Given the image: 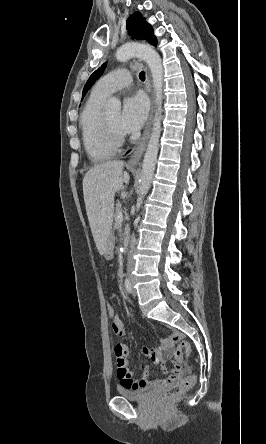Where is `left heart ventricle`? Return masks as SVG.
Listing matches in <instances>:
<instances>
[{"instance_id": "b2bd125f", "label": "left heart ventricle", "mask_w": 266, "mask_h": 444, "mask_svg": "<svg viewBox=\"0 0 266 444\" xmlns=\"http://www.w3.org/2000/svg\"><path fill=\"white\" fill-rule=\"evenodd\" d=\"M105 115L114 132L117 134H124L119 127L120 114L118 112H115V113H108Z\"/></svg>"}]
</instances>
